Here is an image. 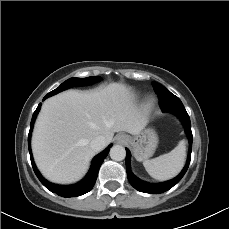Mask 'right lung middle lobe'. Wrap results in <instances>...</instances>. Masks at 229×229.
<instances>
[{"mask_svg": "<svg viewBox=\"0 0 229 229\" xmlns=\"http://www.w3.org/2000/svg\"><path fill=\"white\" fill-rule=\"evenodd\" d=\"M100 78L98 76L95 77H87V78H71L62 83L58 88L55 90L49 92L46 96L50 97L52 95H55L63 90H66L70 87H75V86H84L88 84H92L96 81H98Z\"/></svg>", "mask_w": 229, "mask_h": 229, "instance_id": "obj_1", "label": "right lung middle lobe"}]
</instances>
